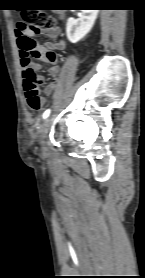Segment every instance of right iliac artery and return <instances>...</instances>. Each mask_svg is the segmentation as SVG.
<instances>
[{
    "instance_id": "right-iliac-artery-1",
    "label": "right iliac artery",
    "mask_w": 145,
    "mask_h": 278,
    "mask_svg": "<svg viewBox=\"0 0 145 278\" xmlns=\"http://www.w3.org/2000/svg\"><path fill=\"white\" fill-rule=\"evenodd\" d=\"M49 114H50V110H46L43 114V118L44 119L47 118L49 116Z\"/></svg>"
}]
</instances>
